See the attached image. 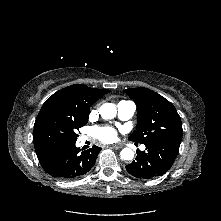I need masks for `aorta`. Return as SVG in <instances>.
<instances>
[{
  "label": "aorta",
  "instance_id": "762f6f07",
  "mask_svg": "<svg viewBox=\"0 0 221 221\" xmlns=\"http://www.w3.org/2000/svg\"><path fill=\"white\" fill-rule=\"evenodd\" d=\"M116 106L113 103H104L100 107V115L104 119H113L116 116ZM121 159L132 160L134 158V152L130 148H124L120 152Z\"/></svg>",
  "mask_w": 221,
  "mask_h": 221
}]
</instances>
